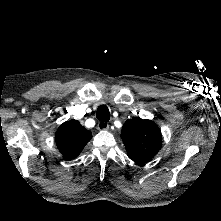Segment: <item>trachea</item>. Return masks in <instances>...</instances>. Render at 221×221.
Masks as SVG:
<instances>
[{
	"label": "trachea",
	"instance_id": "obj_1",
	"mask_svg": "<svg viewBox=\"0 0 221 221\" xmlns=\"http://www.w3.org/2000/svg\"><path fill=\"white\" fill-rule=\"evenodd\" d=\"M96 118L101 122H108L110 119V112L106 105H101L98 107L96 112Z\"/></svg>",
	"mask_w": 221,
	"mask_h": 221
}]
</instances>
